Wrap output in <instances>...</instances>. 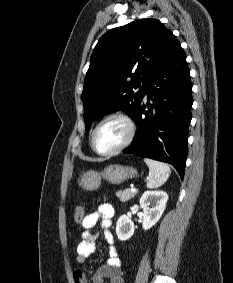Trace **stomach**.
Segmentation results:
<instances>
[{
    "label": "stomach",
    "mask_w": 233,
    "mask_h": 283,
    "mask_svg": "<svg viewBox=\"0 0 233 283\" xmlns=\"http://www.w3.org/2000/svg\"><path fill=\"white\" fill-rule=\"evenodd\" d=\"M136 175L137 171L133 167L114 164L107 166L102 172L94 170L85 172L81 177L79 185L84 190L94 191L100 187L102 179L112 184H120Z\"/></svg>",
    "instance_id": "stomach-1"
}]
</instances>
